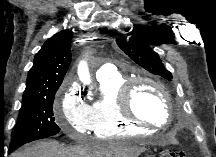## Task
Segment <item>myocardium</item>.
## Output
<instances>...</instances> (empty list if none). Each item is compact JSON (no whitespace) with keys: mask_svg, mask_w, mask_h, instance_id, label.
Listing matches in <instances>:
<instances>
[{"mask_svg":"<svg viewBox=\"0 0 216 157\" xmlns=\"http://www.w3.org/2000/svg\"><path fill=\"white\" fill-rule=\"evenodd\" d=\"M142 83H148L157 88L165 102L167 111V120L163 125H156L146 119L138 116L133 109V97L137 87ZM118 103L121 115L132 123L148 128L163 129L166 128L172 121L173 112L170 102L169 93L166 87L159 81L150 77H133L129 78L120 88L118 92Z\"/></svg>","mask_w":216,"mask_h":157,"instance_id":"f54148a6","label":"myocardium"}]
</instances>
